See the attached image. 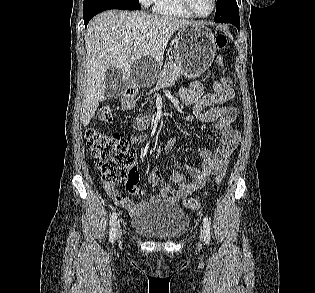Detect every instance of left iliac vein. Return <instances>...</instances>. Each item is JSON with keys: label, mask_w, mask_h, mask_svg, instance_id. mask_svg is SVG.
<instances>
[{"label": "left iliac vein", "mask_w": 315, "mask_h": 293, "mask_svg": "<svg viewBox=\"0 0 315 293\" xmlns=\"http://www.w3.org/2000/svg\"><path fill=\"white\" fill-rule=\"evenodd\" d=\"M203 238V230H201V233H200V239Z\"/></svg>", "instance_id": "1"}]
</instances>
